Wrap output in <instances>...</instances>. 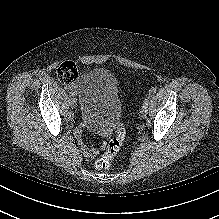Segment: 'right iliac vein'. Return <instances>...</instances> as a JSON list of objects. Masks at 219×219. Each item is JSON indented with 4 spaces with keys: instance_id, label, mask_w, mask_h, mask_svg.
Segmentation results:
<instances>
[{
    "instance_id": "1",
    "label": "right iliac vein",
    "mask_w": 219,
    "mask_h": 219,
    "mask_svg": "<svg viewBox=\"0 0 219 219\" xmlns=\"http://www.w3.org/2000/svg\"><path fill=\"white\" fill-rule=\"evenodd\" d=\"M70 106L72 107V109H75L77 107V101L74 96H71Z\"/></svg>"
}]
</instances>
